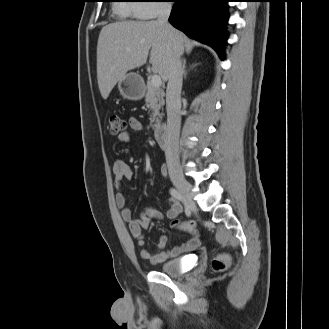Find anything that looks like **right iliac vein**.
Masks as SVG:
<instances>
[{
	"instance_id": "right-iliac-vein-1",
	"label": "right iliac vein",
	"mask_w": 329,
	"mask_h": 329,
	"mask_svg": "<svg viewBox=\"0 0 329 329\" xmlns=\"http://www.w3.org/2000/svg\"><path fill=\"white\" fill-rule=\"evenodd\" d=\"M172 182L175 185V187L179 190L181 195L184 197V199L187 201L188 206L191 209H195L196 206L193 200V195L189 183L183 177H179V176L173 177Z\"/></svg>"
}]
</instances>
